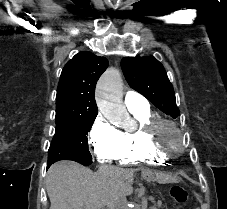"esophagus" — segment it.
Listing matches in <instances>:
<instances>
[{"label":"esophagus","instance_id":"esophagus-1","mask_svg":"<svg viewBox=\"0 0 227 209\" xmlns=\"http://www.w3.org/2000/svg\"><path fill=\"white\" fill-rule=\"evenodd\" d=\"M139 176H140V177H146V176H147V173H146V172H140V173H139Z\"/></svg>","mask_w":227,"mask_h":209}]
</instances>
